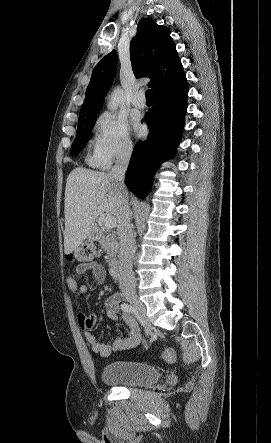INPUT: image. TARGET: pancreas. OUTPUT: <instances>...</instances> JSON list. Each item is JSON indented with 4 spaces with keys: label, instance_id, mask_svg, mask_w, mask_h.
Returning a JSON list of instances; mask_svg holds the SVG:
<instances>
[{
    "label": "pancreas",
    "instance_id": "cf45deb5",
    "mask_svg": "<svg viewBox=\"0 0 271 443\" xmlns=\"http://www.w3.org/2000/svg\"><path fill=\"white\" fill-rule=\"evenodd\" d=\"M99 241L103 249H106L108 255H110V257H115L118 251V241L115 239V233L104 231V233L100 235Z\"/></svg>",
    "mask_w": 271,
    "mask_h": 443
}]
</instances>
